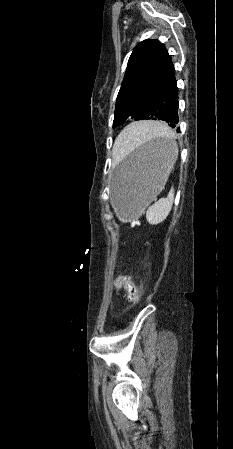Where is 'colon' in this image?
I'll return each instance as SVG.
<instances>
[{
  "instance_id": "1",
  "label": "colon",
  "mask_w": 233,
  "mask_h": 449,
  "mask_svg": "<svg viewBox=\"0 0 233 449\" xmlns=\"http://www.w3.org/2000/svg\"><path fill=\"white\" fill-rule=\"evenodd\" d=\"M115 291H120L123 288L126 291L128 302L132 306H136L139 302V290L132 275L126 274L114 278L113 280Z\"/></svg>"
}]
</instances>
